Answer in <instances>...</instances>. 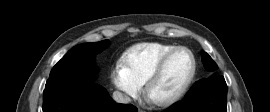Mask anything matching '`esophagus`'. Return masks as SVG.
Here are the masks:
<instances>
[{
	"label": "esophagus",
	"instance_id": "esophagus-1",
	"mask_svg": "<svg viewBox=\"0 0 270 112\" xmlns=\"http://www.w3.org/2000/svg\"><path fill=\"white\" fill-rule=\"evenodd\" d=\"M138 112H145L144 110L139 109Z\"/></svg>",
	"mask_w": 270,
	"mask_h": 112
}]
</instances>
